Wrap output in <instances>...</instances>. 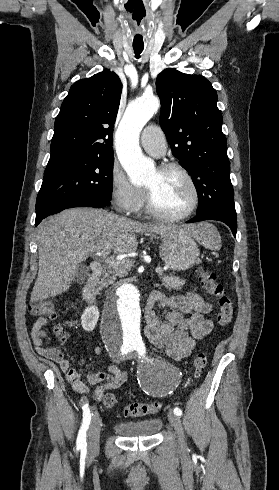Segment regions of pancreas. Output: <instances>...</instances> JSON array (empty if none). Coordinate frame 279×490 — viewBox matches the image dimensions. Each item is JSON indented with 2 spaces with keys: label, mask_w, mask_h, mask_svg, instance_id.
I'll return each instance as SVG.
<instances>
[{
  "label": "pancreas",
  "mask_w": 279,
  "mask_h": 490,
  "mask_svg": "<svg viewBox=\"0 0 279 490\" xmlns=\"http://www.w3.org/2000/svg\"><path fill=\"white\" fill-rule=\"evenodd\" d=\"M132 268V262L127 260L126 264L122 262L119 266H115V270H108L107 274H105L104 278H102L100 284H109V282H115L116 278H123V276H128V272H130ZM162 286L164 288H168V290H181L182 286H184V280H180V278H176V276H162L161 278Z\"/></svg>",
  "instance_id": "pancreas-1"
}]
</instances>
